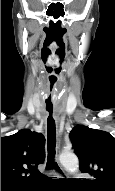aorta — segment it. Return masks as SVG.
I'll list each match as a JSON object with an SVG mask.
<instances>
[{
	"label": "aorta",
	"instance_id": "762f6f07",
	"mask_svg": "<svg viewBox=\"0 0 115 191\" xmlns=\"http://www.w3.org/2000/svg\"><path fill=\"white\" fill-rule=\"evenodd\" d=\"M60 162L65 167V169L70 172L74 173L78 170L79 161L75 154L71 152H64L60 155Z\"/></svg>",
	"mask_w": 115,
	"mask_h": 191
}]
</instances>
